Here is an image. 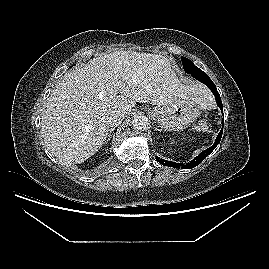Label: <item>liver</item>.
<instances>
[{"mask_svg":"<svg viewBox=\"0 0 269 269\" xmlns=\"http://www.w3.org/2000/svg\"><path fill=\"white\" fill-rule=\"evenodd\" d=\"M192 98L212 105L208 89L179 79L164 56L114 51L91 59L59 80L46 102L41 132L46 148L64 165L83 163L108 136L107 116L128 115L136 102L158 106Z\"/></svg>","mask_w":269,"mask_h":269,"instance_id":"liver-1","label":"liver"}]
</instances>
